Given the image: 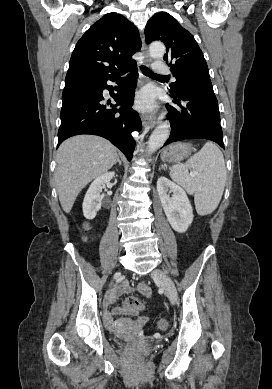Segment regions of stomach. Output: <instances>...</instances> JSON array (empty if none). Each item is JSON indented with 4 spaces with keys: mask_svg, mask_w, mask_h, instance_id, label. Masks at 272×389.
Listing matches in <instances>:
<instances>
[{
    "mask_svg": "<svg viewBox=\"0 0 272 389\" xmlns=\"http://www.w3.org/2000/svg\"><path fill=\"white\" fill-rule=\"evenodd\" d=\"M192 149L188 143H174L162 151L161 158L168 162H179L186 159L191 154Z\"/></svg>",
    "mask_w": 272,
    "mask_h": 389,
    "instance_id": "1",
    "label": "stomach"
}]
</instances>
